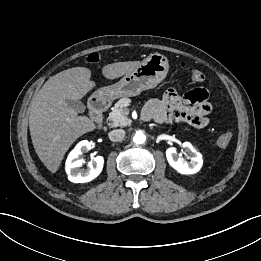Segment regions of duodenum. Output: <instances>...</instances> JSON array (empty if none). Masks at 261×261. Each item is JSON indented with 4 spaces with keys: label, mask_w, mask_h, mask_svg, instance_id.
I'll return each instance as SVG.
<instances>
[{
    "label": "duodenum",
    "mask_w": 261,
    "mask_h": 261,
    "mask_svg": "<svg viewBox=\"0 0 261 261\" xmlns=\"http://www.w3.org/2000/svg\"><path fill=\"white\" fill-rule=\"evenodd\" d=\"M109 106L110 100L104 95L96 96L91 100L89 105L90 113L99 126L102 124L103 113Z\"/></svg>",
    "instance_id": "obj_1"
}]
</instances>
